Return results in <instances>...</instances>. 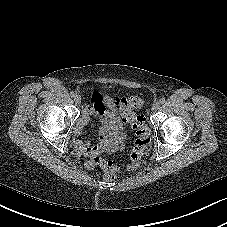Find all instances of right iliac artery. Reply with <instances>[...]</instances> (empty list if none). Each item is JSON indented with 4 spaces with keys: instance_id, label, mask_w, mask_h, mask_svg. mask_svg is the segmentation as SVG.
I'll use <instances>...</instances> for the list:
<instances>
[{
    "instance_id": "1",
    "label": "right iliac artery",
    "mask_w": 227,
    "mask_h": 227,
    "mask_svg": "<svg viewBox=\"0 0 227 227\" xmlns=\"http://www.w3.org/2000/svg\"><path fill=\"white\" fill-rule=\"evenodd\" d=\"M70 96L71 97H74L75 96V93L72 91V92H70Z\"/></svg>"
}]
</instances>
